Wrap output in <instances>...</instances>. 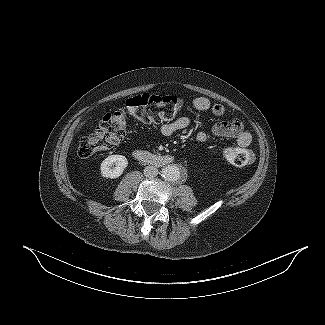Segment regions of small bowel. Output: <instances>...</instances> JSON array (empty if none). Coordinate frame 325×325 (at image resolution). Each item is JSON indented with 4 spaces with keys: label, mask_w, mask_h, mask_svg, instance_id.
Returning a JSON list of instances; mask_svg holds the SVG:
<instances>
[{
    "label": "small bowel",
    "mask_w": 325,
    "mask_h": 325,
    "mask_svg": "<svg viewBox=\"0 0 325 325\" xmlns=\"http://www.w3.org/2000/svg\"><path fill=\"white\" fill-rule=\"evenodd\" d=\"M193 107L199 111H211L215 116H222L225 113V107L220 103H211L205 97H197L192 102ZM192 120L188 116H182L178 119L164 124L161 127V133L165 136H170L180 130L189 127ZM213 137H227L235 139L237 145L241 148H247L252 140L251 134L246 131L238 119L230 121H222L213 125L211 133L199 131L196 134V140L199 143H207ZM251 154V153H250ZM252 157V154H251Z\"/></svg>",
    "instance_id": "obj_1"
}]
</instances>
